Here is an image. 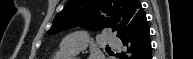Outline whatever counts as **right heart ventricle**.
<instances>
[{"mask_svg": "<svg viewBox=\"0 0 193 59\" xmlns=\"http://www.w3.org/2000/svg\"><path fill=\"white\" fill-rule=\"evenodd\" d=\"M74 54L75 52L60 49L51 59H70Z\"/></svg>", "mask_w": 193, "mask_h": 59, "instance_id": "1", "label": "right heart ventricle"}]
</instances>
